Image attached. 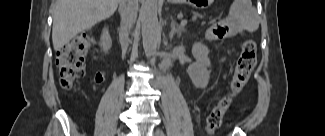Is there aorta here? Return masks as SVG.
<instances>
[{
	"label": "aorta",
	"instance_id": "obj_1",
	"mask_svg": "<svg viewBox=\"0 0 325 136\" xmlns=\"http://www.w3.org/2000/svg\"><path fill=\"white\" fill-rule=\"evenodd\" d=\"M141 35L145 54L150 57L156 51L159 35L157 0H146L143 5Z\"/></svg>",
	"mask_w": 325,
	"mask_h": 136
}]
</instances>
